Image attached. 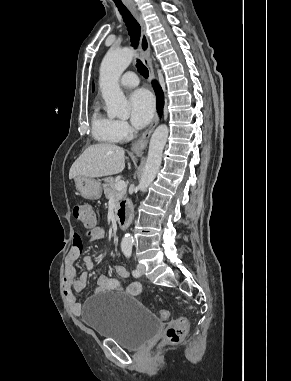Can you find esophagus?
<instances>
[{"instance_id": "obj_1", "label": "esophagus", "mask_w": 291, "mask_h": 381, "mask_svg": "<svg viewBox=\"0 0 291 381\" xmlns=\"http://www.w3.org/2000/svg\"><path fill=\"white\" fill-rule=\"evenodd\" d=\"M126 6L131 11V13L135 16L136 20L138 21L141 27V59L143 64L148 68L150 78L153 80L155 75H154L153 66L149 60L150 43H149L148 35L146 33V25H145L144 19L141 13L136 8L135 4L131 2H127ZM158 120H159V117H158V114H156L151 124L146 129V131L141 135L140 138H138L137 140L133 142L131 146L132 152H134L137 155H140L142 153V151L144 150V148L146 147L148 143L151 133L153 132L154 128L156 127L158 123Z\"/></svg>"}]
</instances>
